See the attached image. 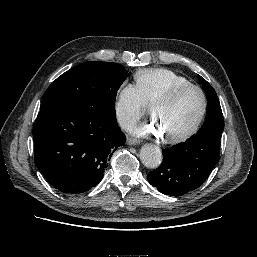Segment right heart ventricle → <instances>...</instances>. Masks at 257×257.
I'll return each instance as SVG.
<instances>
[{
  "instance_id": "obj_1",
  "label": "right heart ventricle",
  "mask_w": 257,
  "mask_h": 257,
  "mask_svg": "<svg viewBox=\"0 0 257 257\" xmlns=\"http://www.w3.org/2000/svg\"><path fill=\"white\" fill-rule=\"evenodd\" d=\"M134 78L148 105H152L158 97L171 89L190 84L186 77L164 68L141 69L135 73Z\"/></svg>"
}]
</instances>
